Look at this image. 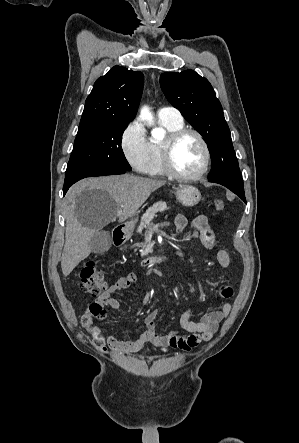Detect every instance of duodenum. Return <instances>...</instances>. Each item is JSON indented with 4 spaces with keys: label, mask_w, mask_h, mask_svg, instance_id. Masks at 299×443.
Instances as JSON below:
<instances>
[{
    "label": "duodenum",
    "mask_w": 299,
    "mask_h": 443,
    "mask_svg": "<svg viewBox=\"0 0 299 443\" xmlns=\"http://www.w3.org/2000/svg\"><path fill=\"white\" fill-rule=\"evenodd\" d=\"M113 243L115 246H122L126 241V226L118 225L112 232ZM167 259V256H149L141 260V266L147 268Z\"/></svg>",
    "instance_id": "obj_1"
}]
</instances>
